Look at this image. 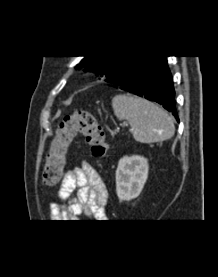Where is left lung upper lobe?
Masks as SVG:
<instances>
[{"instance_id":"5c2ea615","label":"left lung upper lobe","mask_w":218,"mask_h":277,"mask_svg":"<svg viewBox=\"0 0 218 277\" xmlns=\"http://www.w3.org/2000/svg\"><path fill=\"white\" fill-rule=\"evenodd\" d=\"M133 58L135 56H85L76 67L84 68L85 71L107 79Z\"/></svg>"}]
</instances>
